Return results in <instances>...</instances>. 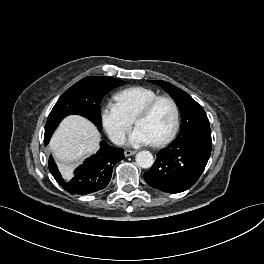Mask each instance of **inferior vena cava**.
Wrapping results in <instances>:
<instances>
[{
    "instance_id": "obj_1",
    "label": "inferior vena cava",
    "mask_w": 264,
    "mask_h": 264,
    "mask_svg": "<svg viewBox=\"0 0 264 264\" xmlns=\"http://www.w3.org/2000/svg\"><path fill=\"white\" fill-rule=\"evenodd\" d=\"M111 140L116 145H123L125 143V136L123 134H115L111 137Z\"/></svg>"
}]
</instances>
